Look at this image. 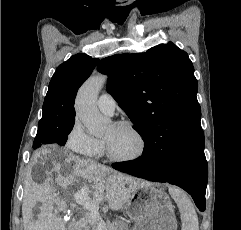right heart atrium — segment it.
Wrapping results in <instances>:
<instances>
[{"label": "right heart atrium", "instance_id": "right-heart-atrium-1", "mask_svg": "<svg viewBox=\"0 0 241 230\" xmlns=\"http://www.w3.org/2000/svg\"><path fill=\"white\" fill-rule=\"evenodd\" d=\"M66 146L75 153L92 157L98 154L102 144L90 136L76 120L67 135Z\"/></svg>", "mask_w": 241, "mask_h": 230}]
</instances>
